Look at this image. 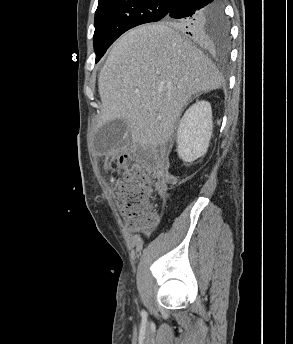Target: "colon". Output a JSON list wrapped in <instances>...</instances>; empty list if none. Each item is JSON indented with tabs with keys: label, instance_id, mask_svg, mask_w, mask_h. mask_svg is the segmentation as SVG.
Returning <instances> with one entry per match:
<instances>
[{
	"label": "colon",
	"instance_id": "obj_1",
	"mask_svg": "<svg viewBox=\"0 0 293 344\" xmlns=\"http://www.w3.org/2000/svg\"><path fill=\"white\" fill-rule=\"evenodd\" d=\"M119 165L125 174L116 185L118 210L134 231L148 230L157 222L151 179L128 158H122Z\"/></svg>",
	"mask_w": 293,
	"mask_h": 344
}]
</instances>
